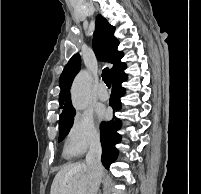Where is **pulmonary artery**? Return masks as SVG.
Segmentation results:
<instances>
[{"mask_svg": "<svg viewBox=\"0 0 201 194\" xmlns=\"http://www.w3.org/2000/svg\"><path fill=\"white\" fill-rule=\"evenodd\" d=\"M98 98L101 101H106L109 98V93L104 84H101L98 91Z\"/></svg>", "mask_w": 201, "mask_h": 194, "instance_id": "1", "label": "pulmonary artery"}]
</instances>
